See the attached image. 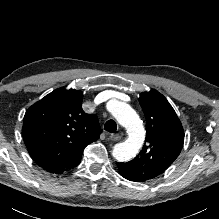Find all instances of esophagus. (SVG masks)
Returning <instances> with one entry per match:
<instances>
[{
	"mask_svg": "<svg viewBox=\"0 0 219 219\" xmlns=\"http://www.w3.org/2000/svg\"><path fill=\"white\" fill-rule=\"evenodd\" d=\"M109 138L111 141H119L121 136L119 134H110Z\"/></svg>",
	"mask_w": 219,
	"mask_h": 219,
	"instance_id": "34e87169",
	"label": "esophagus"
}]
</instances>
